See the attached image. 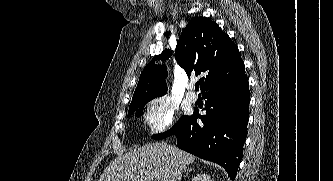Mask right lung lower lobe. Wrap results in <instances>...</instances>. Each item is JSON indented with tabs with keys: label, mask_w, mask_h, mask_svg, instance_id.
<instances>
[{
	"label": "right lung lower lobe",
	"mask_w": 333,
	"mask_h": 181,
	"mask_svg": "<svg viewBox=\"0 0 333 181\" xmlns=\"http://www.w3.org/2000/svg\"><path fill=\"white\" fill-rule=\"evenodd\" d=\"M206 114L185 116L173 135L180 149L221 165L234 181L247 136L250 92L247 76L202 93ZM200 118L202 123H197Z\"/></svg>",
	"instance_id": "right-lung-lower-lobe-1"
}]
</instances>
